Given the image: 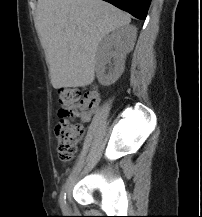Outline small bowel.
Segmentation results:
<instances>
[{"mask_svg":"<svg viewBox=\"0 0 202 217\" xmlns=\"http://www.w3.org/2000/svg\"><path fill=\"white\" fill-rule=\"evenodd\" d=\"M89 102L84 105L76 106L72 111L73 118H79L82 122H88L92 115L96 112L99 105V97L97 93L89 94Z\"/></svg>","mask_w":202,"mask_h":217,"instance_id":"small-bowel-1","label":"small bowel"}]
</instances>
